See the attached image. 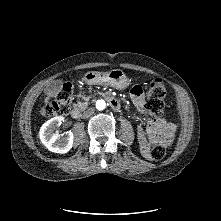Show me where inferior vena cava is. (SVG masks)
<instances>
[{
	"instance_id": "1",
	"label": "inferior vena cava",
	"mask_w": 221,
	"mask_h": 221,
	"mask_svg": "<svg viewBox=\"0 0 221 221\" xmlns=\"http://www.w3.org/2000/svg\"><path fill=\"white\" fill-rule=\"evenodd\" d=\"M95 109L93 107L88 108L86 111L83 113V117L87 118L90 117L91 115L94 114Z\"/></svg>"
}]
</instances>
